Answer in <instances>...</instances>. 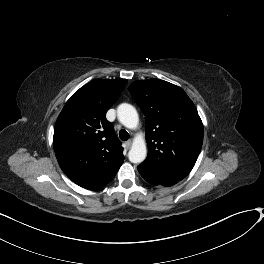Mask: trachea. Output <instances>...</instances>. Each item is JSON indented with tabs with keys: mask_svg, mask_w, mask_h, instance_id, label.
Returning <instances> with one entry per match:
<instances>
[{
	"mask_svg": "<svg viewBox=\"0 0 264 264\" xmlns=\"http://www.w3.org/2000/svg\"><path fill=\"white\" fill-rule=\"evenodd\" d=\"M119 138L122 141H126L129 139V133L126 130L122 129L119 131Z\"/></svg>",
	"mask_w": 264,
	"mask_h": 264,
	"instance_id": "3493384b",
	"label": "trachea"
}]
</instances>
